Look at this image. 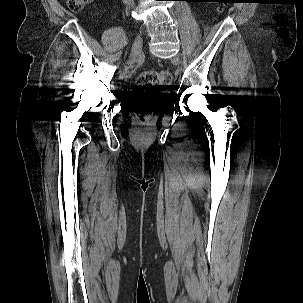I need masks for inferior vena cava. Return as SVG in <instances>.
I'll use <instances>...</instances> for the list:
<instances>
[{
	"label": "inferior vena cava",
	"instance_id": "obj_1",
	"mask_svg": "<svg viewBox=\"0 0 303 303\" xmlns=\"http://www.w3.org/2000/svg\"><path fill=\"white\" fill-rule=\"evenodd\" d=\"M124 2V4L128 5V6H132L134 4V0H122Z\"/></svg>",
	"mask_w": 303,
	"mask_h": 303
}]
</instances>
